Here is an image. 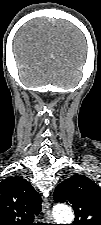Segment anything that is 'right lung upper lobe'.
Masks as SVG:
<instances>
[{"label": "right lung upper lobe", "instance_id": "1", "mask_svg": "<svg viewBox=\"0 0 101 225\" xmlns=\"http://www.w3.org/2000/svg\"><path fill=\"white\" fill-rule=\"evenodd\" d=\"M41 210V197L21 177H9L0 183V225H34Z\"/></svg>", "mask_w": 101, "mask_h": 225}]
</instances>
